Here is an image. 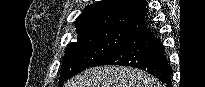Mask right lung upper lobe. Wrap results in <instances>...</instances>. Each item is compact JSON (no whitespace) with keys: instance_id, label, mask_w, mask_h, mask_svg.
Instances as JSON below:
<instances>
[{"instance_id":"right-lung-upper-lobe-1","label":"right lung upper lobe","mask_w":205,"mask_h":87,"mask_svg":"<svg viewBox=\"0 0 205 87\" xmlns=\"http://www.w3.org/2000/svg\"><path fill=\"white\" fill-rule=\"evenodd\" d=\"M146 0H102L87 6L76 19V32L115 30L135 33L147 25Z\"/></svg>"}]
</instances>
